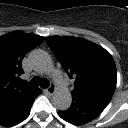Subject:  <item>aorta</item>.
I'll return each mask as SVG.
<instances>
[{
	"instance_id": "762f6f07",
	"label": "aorta",
	"mask_w": 128,
	"mask_h": 128,
	"mask_svg": "<svg viewBox=\"0 0 128 128\" xmlns=\"http://www.w3.org/2000/svg\"><path fill=\"white\" fill-rule=\"evenodd\" d=\"M29 59L32 65L41 72L49 71L52 66L53 62L50 55L40 49L33 50L30 55ZM72 103V95L69 90L67 89H60L55 92L53 95V105L61 111L67 110Z\"/></svg>"
}]
</instances>
